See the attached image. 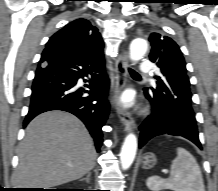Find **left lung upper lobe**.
<instances>
[{"instance_id":"left-lung-upper-lobe-1","label":"left lung upper lobe","mask_w":218,"mask_h":191,"mask_svg":"<svg viewBox=\"0 0 218 191\" xmlns=\"http://www.w3.org/2000/svg\"><path fill=\"white\" fill-rule=\"evenodd\" d=\"M150 61L154 62L162 72L157 76L158 86L150 88L151 92L172 104L182 102L191 106L190 82L187 76L186 63L178 45L169 37L152 33ZM192 126L196 127L193 119Z\"/></svg>"}]
</instances>
